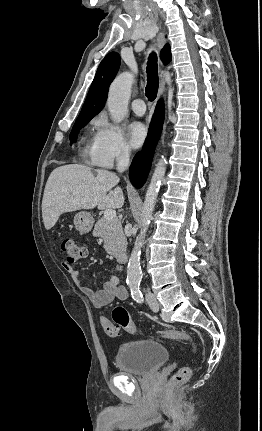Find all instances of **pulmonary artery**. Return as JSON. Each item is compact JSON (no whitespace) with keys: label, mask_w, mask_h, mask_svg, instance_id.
Returning <instances> with one entry per match:
<instances>
[{"label":"pulmonary artery","mask_w":262,"mask_h":431,"mask_svg":"<svg viewBox=\"0 0 262 431\" xmlns=\"http://www.w3.org/2000/svg\"><path fill=\"white\" fill-rule=\"evenodd\" d=\"M132 110L136 115H143L146 111L145 102L141 98L135 99L131 104Z\"/></svg>","instance_id":"1"}]
</instances>
